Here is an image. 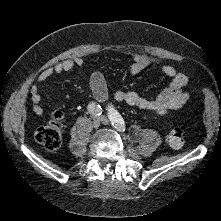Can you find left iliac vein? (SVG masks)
Instances as JSON below:
<instances>
[{"label":"left iliac vein","mask_w":221,"mask_h":221,"mask_svg":"<svg viewBox=\"0 0 221 221\" xmlns=\"http://www.w3.org/2000/svg\"><path fill=\"white\" fill-rule=\"evenodd\" d=\"M101 121L103 124L108 125L109 124V120L106 116H101Z\"/></svg>","instance_id":"1"}]
</instances>
